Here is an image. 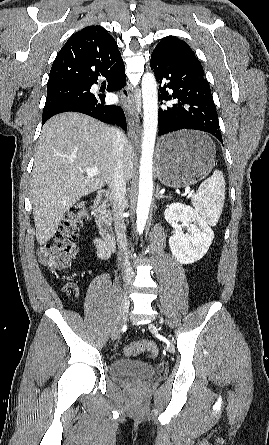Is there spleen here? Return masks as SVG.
<instances>
[{"label": "spleen", "mask_w": 269, "mask_h": 445, "mask_svg": "<svg viewBox=\"0 0 269 445\" xmlns=\"http://www.w3.org/2000/svg\"><path fill=\"white\" fill-rule=\"evenodd\" d=\"M192 205L210 226H215L220 218L225 201V180L220 170L204 180L198 192L191 197Z\"/></svg>", "instance_id": "spleen-1"}]
</instances>
